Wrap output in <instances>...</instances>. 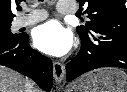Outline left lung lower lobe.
Here are the masks:
<instances>
[{
	"instance_id": "obj_1",
	"label": "left lung lower lobe",
	"mask_w": 127,
	"mask_h": 92,
	"mask_svg": "<svg viewBox=\"0 0 127 92\" xmlns=\"http://www.w3.org/2000/svg\"><path fill=\"white\" fill-rule=\"evenodd\" d=\"M80 38V52L66 65L68 82L101 67L127 69V28H98Z\"/></svg>"
}]
</instances>
